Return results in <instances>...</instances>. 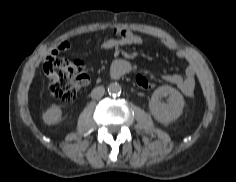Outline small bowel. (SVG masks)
<instances>
[{
    "label": "small bowel",
    "instance_id": "c3829d8e",
    "mask_svg": "<svg viewBox=\"0 0 236 182\" xmlns=\"http://www.w3.org/2000/svg\"><path fill=\"white\" fill-rule=\"evenodd\" d=\"M116 37L105 40L102 44L104 50H112L124 45H143L146 39L142 36L136 35L130 30L124 28L114 29ZM162 45L172 54L181 59H188L187 53L180 49L174 41L163 40ZM71 48L69 41L62 42L56 52H65ZM195 75L196 69L193 63H189L185 69L184 74H164L162 78L173 84L183 95L192 97L195 90Z\"/></svg>",
    "mask_w": 236,
    "mask_h": 182
}]
</instances>
